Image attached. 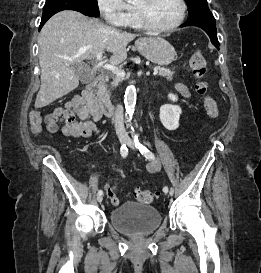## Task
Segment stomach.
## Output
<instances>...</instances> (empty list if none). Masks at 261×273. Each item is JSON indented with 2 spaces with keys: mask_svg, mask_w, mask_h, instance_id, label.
Returning a JSON list of instances; mask_svg holds the SVG:
<instances>
[{
  "mask_svg": "<svg viewBox=\"0 0 261 273\" xmlns=\"http://www.w3.org/2000/svg\"><path fill=\"white\" fill-rule=\"evenodd\" d=\"M135 46L145 58L161 66L169 65L176 56L174 47L161 37L138 39Z\"/></svg>",
  "mask_w": 261,
  "mask_h": 273,
  "instance_id": "stomach-1",
  "label": "stomach"
}]
</instances>
